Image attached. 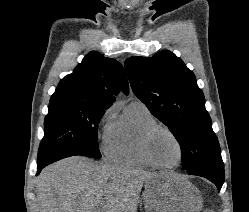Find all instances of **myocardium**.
<instances>
[{
    "label": "myocardium",
    "instance_id": "f54148a6",
    "mask_svg": "<svg viewBox=\"0 0 249 212\" xmlns=\"http://www.w3.org/2000/svg\"><path fill=\"white\" fill-rule=\"evenodd\" d=\"M158 132H164L168 135H170L173 140L176 142L178 149H179V159L175 164L172 165H164L156 161V159L153 157L152 152H151V141L153 137L158 133ZM140 145H141V151L145 159L154 167L160 168V169H175L180 164L182 163L184 159V147L178 138V136L168 127L160 125V124H152L148 126L142 133L141 135V140H140Z\"/></svg>",
    "mask_w": 249,
    "mask_h": 212
}]
</instances>
